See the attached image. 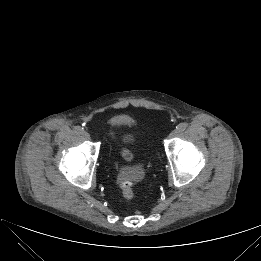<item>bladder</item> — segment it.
Returning a JSON list of instances; mask_svg holds the SVG:
<instances>
[{
  "label": "bladder",
  "mask_w": 261,
  "mask_h": 261,
  "mask_svg": "<svg viewBox=\"0 0 261 261\" xmlns=\"http://www.w3.org/2000/svg\"><path fill=\"white\" fill-rule=\"evenodd\" d=\"M122 124H132V120L127 116H121L111 121L110 128H111V136L113 137V139L115 140L117 139L118 134L116 132V128L121 126ZM118 153L120 158L125 162H132L134 160L135 154L127 146H120L118 149Z\"/></svg>",
  "instance_id": "bladder-1"
}]
</instances>
